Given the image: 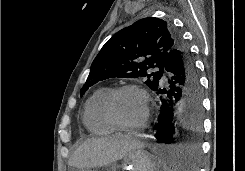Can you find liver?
<instances>
[{"label":"liver","mask_w":245,"mask_h":171,"mask_svg":"<svg viewBox=\"0 0 245 171\" xmlns=\"http://www.w3.org/2000/svg\"><path fill=\"white\" fill-rule=\"evenodd\" d=\"M141 147H144V143L131 134L91 138L75 150L68 164L82 169L108 166L127 156L131 150Z\"/></svg>","instance_id":"obj_1"}]
</instances>
